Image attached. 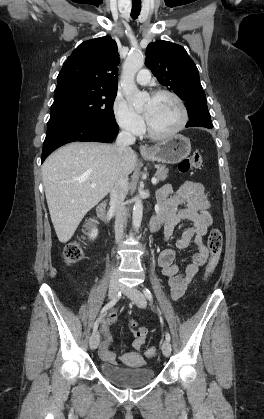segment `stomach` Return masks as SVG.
<instances>
[{
	"label": "stomach",
	"mask_w": 264,
	"mask_h": 419,
	"mask_svg": "<svg viewBox=\"0 0 264 419\" xmlns=\"http://www.w3.org/2000/svg\"><path fill=\"white\" fill-rule=\"evenodd\" d=\"M191 152L190 140L183 135H174L155 145L150 154H144L146 160L175 164L186 158Z\"/></svg>",
	"instance_id": "0dacf381"
}]
</instances>
